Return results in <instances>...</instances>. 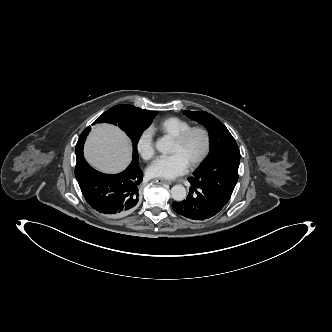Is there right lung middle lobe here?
<instances>
[{
	"mask_svg": "<svg viewBox=\"0 0 332 332\" xmlns=\"http://www.w3.org/2000/svg\"><path fill=\"white\" fill-rule=\"evenodd\" d=\"M157 112L147 111L132 105L122 104L110 108L102 114L95 122L111 123L118 125L126 132L133 143L132 164L138 165L137 143L142 132L151 124ZM77 144L76 150L79 149Z\"/></svg>",
	"mask_w": 332,
	"mask_h": 332,
	"instance_id": "obj_1",
	"label": "right lung middle lobe"
}]
</instances>
